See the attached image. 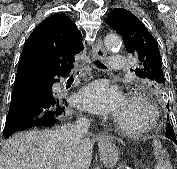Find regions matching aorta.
I'll return each mask as SVG.
<instances>
[{"mask_svg": "<svg viewBox=\"0 0 177 169\" xmlns=\"http://www.w3.org/2000/svg\"><path fill=\"white\" fill-rule=\"evenodd\" d=\"M106 49H113L121 46V39L118 35H107L104 39Z\"/></svg>", "mask_w": 177, "mask_h": 169, "instance_id": "762f6f07", "label": "aorta"}]
</instances>
